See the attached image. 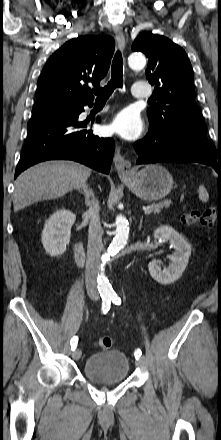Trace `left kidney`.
Here are the masks:
<instances>
[{
	"instance_id": "5707ae66",
	"label": "left kidney",
	"mask_w": 221,
	"mask_h": 440,
	"mask_svg": "<svg viewBox=\"0 0 221 440\" xmlns=\"http://www.w3.org/2000/svg\"><path fill=\"white\" fill-rule=\"evenodd\" d=\"M154 238L160 241H169L175 252L170 256L172 263L163 270L157 261H151L148 265L150 275L160 284H171L178 280L186 269L191 255V245L182 235L168 225L158 227L154 231Z\"/></svg>"
}]
</instances>
